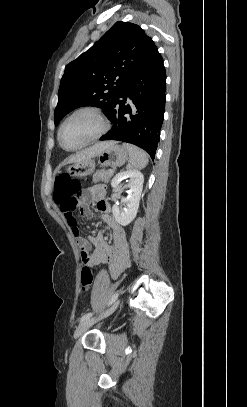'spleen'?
Here are the masks:
<instances>
[{
  "instance_id": "3e777b00",
  "label": "spleen",
  "mask_w": 247,
  "mask_h": 407,
  "mask_svg": "<svg viewBox=\"0 0 247 407\" xmlns=\"http://www.w3.org/2000/svg\"><path fill=\"white\" fill-rule=\"evenodd\" d=\"M123 147L129 153V162L127 165V169L139 170L146 167V165L148 164V155L145 151L128 143H123Z\"/></svg>"
}]
</instances>
